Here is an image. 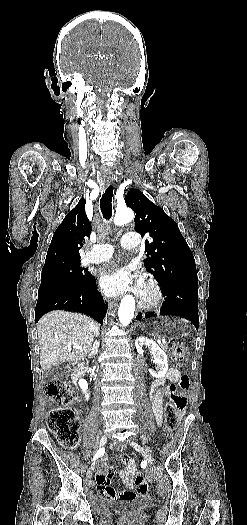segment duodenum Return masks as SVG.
<instances>
[{
    "instance_id": "obj_1",
    "label": "duodenum",
    "mask_w": 247,
    "mask_h": 525,
    "mask_svg": "<svg viewBox=\"0 0 247 525\" xmlns=\"http://www.w3.org/2000/svg\"><path fill=\"white\" fill-rule=\"evenodd\" d=\"M84 372H85V364L84 363H78L76 368H75V372H74V376L76 379H82L83 376H84ZM85 396L86 398H89V392L86 391L85 392Z\"/></svg>"
}]
</instances>
